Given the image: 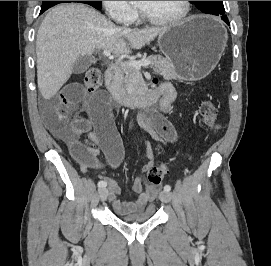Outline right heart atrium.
I'll use <instances>...</instances> for the list:
<instances>
[{
  "label": "right heart atrium",
  "instance_id": "obj_1",
  "mask_svg": "<svg viewBox=\"0 0 271 266\" xmlns=\"http://www.w3.org/2000/svg\"><path fill=\"white\" fill-rule=\"evenodd\" d=\"M107 15L114 21L132 24L137 20L138 10L128 1H102Z\"/></svg>",
  "mask_w": 271,
  "mask_h": 266
}]
</instances>
